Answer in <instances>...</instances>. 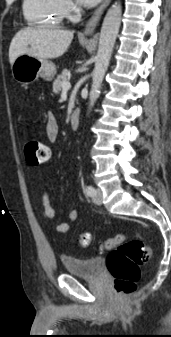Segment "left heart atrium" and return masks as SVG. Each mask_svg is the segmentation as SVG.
<instances>
[{"mask_svg": "<svg viewBox=\"0 0 171 337\" xmlns=\"http://www.w3.org/2000/svg\"><path fill=\"white\" fill-rule=\"evenodd\" d=\"M78 1L85 6H92L95 5L97 2H99L100 0H78Z\"/></svg>", "mask_w": 171, "mask_h": 337, "instance_id": "obj_1", "label": "left heart atrium"}]
</instances>
